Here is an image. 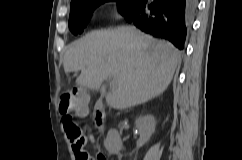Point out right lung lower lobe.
<instances>
[{
    "label": "right lung lower lobe",
    "instance_id": "obj_1",
    "mask_svg": "<svg viewBox=\"0 0 242 160\" xmlns=\"http://www.w3.org/2000/svg\"><path fill=\"white\" fill-rule=\"evenodd\" d=\"M197 4L198 0H137L123 16L142 31L183 49Z\"/></svg>",
    "mask_w": 242,
    "mask_h": 160
}]
</instances>
